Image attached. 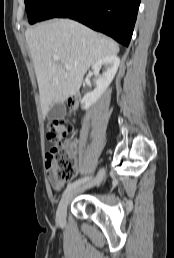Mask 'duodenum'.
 I'll use <instances>...</instances> for the list:
<instances>
[{"label": "duodenum", "instance_id": "410a0bca", "mask_svg": "<svg viewBox=\"0 0 174 258\" xmlns=\"http://www.w3.org/2000/svg\"><path fill=\"white\" fill-rule=\"evenodd\" d=\"M68 104H69V106H70L71 108L74 109V108L76 107V105H77V99H76V97H75V96H72L71 98H69Z\"/></svg>", "mask_w": 174, "mask_h": 258}]
</instances>
